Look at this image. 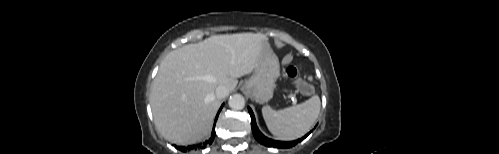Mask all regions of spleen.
Wrapping results in <instances>:
<instances>
[{"instance_id":"3e777b00","label":"spleen","mask_w":499,"mask_h":154,"mask_svg":"<svg viewBox=\"0 0 499 154\" xmlns=\"http://www.w3.org/2000/svg\"><path fill=\"white\" fill-rule=\"evenodd\" d=\"M320 98L312 96L307 101L281 110L269 106L262 108V115L269 131L281 140H295L305 135L320 113Z\"/></svg>"}]
</instances>
